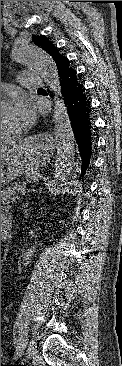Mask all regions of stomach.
I'll list each match as a JSON object with an SVG mask.
<instances>
[{"instance_id": "1", "label": "stomach", "mask_w": 122, "mask_h": 366, "mask_svg": "<svg viewBox=\"0 0 122 366\" xmlns=\"http://www.w3.org/2000/svg\"><path fill=\"white\" fill-rule=\"evenodd\" d=\"M30 148L36 147L37 142L29 140ZM23 150L13 151L1 157V184H5L18 175L19 167L23 162Z\"/></svg>"}]
</instances>
